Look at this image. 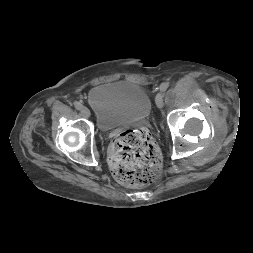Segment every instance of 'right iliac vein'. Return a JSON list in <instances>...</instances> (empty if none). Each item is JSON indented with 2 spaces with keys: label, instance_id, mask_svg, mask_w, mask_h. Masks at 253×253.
<instances>
[{
  "label": "right iliac vein",
  "instance_id": "right-iliac-vein-1",
  "mask_svg": "<svg viewBox=\"0 0 253 253\" xmlns=\"http://www.w3.org/2000/svg\"><path fill=\"white\" fill-rule=\"evenodd\" d=\"M81 115L86 118L90 117V110L87 107H83L81 109Z\"/></svg>",
  "mask_w": 253,
  "mask_h": 253
}]
</instances>
